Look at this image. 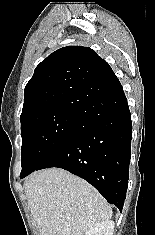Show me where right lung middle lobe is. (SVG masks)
I'll return each instance as SVG.
<instances>
[{
    "label": "right lung middle lobe",
    "instance_id": "obj_1",
    "mask_svg": "<svg viewBox=\"0 0 155 235\" xmlns=\"http://www.w3.org/2000/svg\"><path fill=\"white\" fill-rule=\"evenodd\" d=\"M20 121L21 173L37 168L86 122L72 110L58 106L35 109Z\"/></svg>",
    "mask_w": 155,
    "mask_h": 235
}]
</instances>
